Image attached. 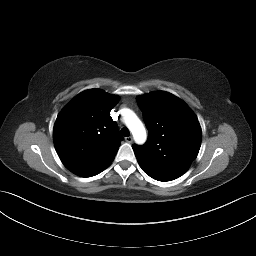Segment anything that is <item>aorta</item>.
I'll return each instance as SVG.
<instances>
[{
  "label": "aorta",
  "instance_id": "obj_1",
  "mask_svg": "<svg viewBox=\"0 0 256 256\" xmlns=\"http://www.w3.org/2000/svg\"><path fill=\"white\" fill-rule=\"evenodd\" d=\"M123 121L128 129L131 131L133 138L137 144H143L146 141L147 135L146 130L137 117V115L130 109H122Z\"/></svg>",
  "mask_w": 256,
  "mask_h": 256
}]
</instances>
